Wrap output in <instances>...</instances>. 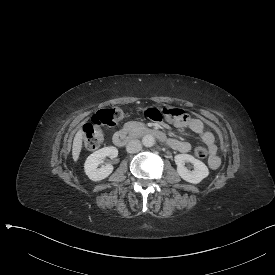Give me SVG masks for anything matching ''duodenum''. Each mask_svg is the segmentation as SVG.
Instances as JSON below:
<instances>
[{
    "mask_svg": "<svg viewBox=\"0 0 275 275\" xmlns=\"http://www.w3.org/2000/svg\"><path fill=\"white\" fill-rule=\"evenodd\" d=\"M138 134L154 136L160 141H164L166 139L165 134L156 128H142L139 132L127 130L117 131L113 136V142L115 145L122 147L135 139Z\"/></svg>",
    "mask_w": 275,
    "mask_h": 275,
    "instance_id": "duodenum-1",
    "label": "duodenum"
}]
</instances>
